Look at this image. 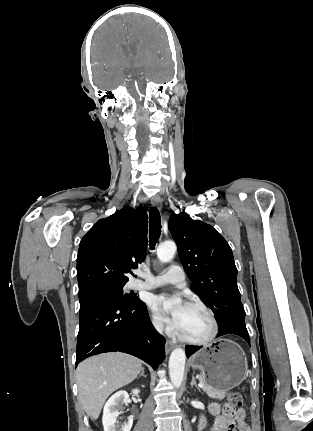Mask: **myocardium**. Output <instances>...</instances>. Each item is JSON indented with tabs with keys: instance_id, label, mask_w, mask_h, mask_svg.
Returning <instances> with one entry per match:
<instances>
[{
	"instance_id": "f54148a6",
	"label": "myocardium",
	"mask_w": 313,
	"mask_h": 431,
	"mask_svg": "<svg viewBox=\"0 0 313 431\" xmlns=\"http://www.w3.org/2000/svg\"><path fill=\"white\" fill-rule=\"evenodd\" d=\"M188 306L201 309L207 313V315L209 316L211 323H212V332L208 338L203 339V340L190 339V338L184 336L181 332H179L178 333L179 339L182 342L190 344V345H195V346L209 345L210 343H212L216 339V337L218 336V333H219V322L217 320L215 313L213 312V310L211 308H209L207 305H205L204 303H201V302L192 301L188 304Z\"/></svg>"
}]
</instances>
